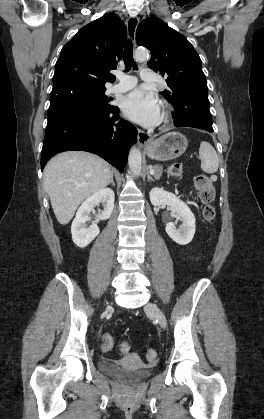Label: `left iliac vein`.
I'll return each mask as SVG.
<instances>
[{"label":"left iliac vein","mask_w":264,"mask_h":419,"mask_svg":"<svg viewBox=\"0 0 264 419\" xmlns=\"http://www.w3.org/2000/svg\"><path fill=\"white\" fill-rule=\"evenodd\" d=\"M145 311L147 313L151 314L158 321L159 325L162 328H166V326H167L166 318L156 304L148 303L145 306Z\"/></svg>","instance_id":"4c4485c4"}]
</instances>
